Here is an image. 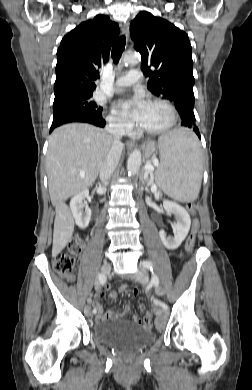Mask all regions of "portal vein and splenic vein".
I'll return each instance as SVG.
<instances>
[{
  "label": "portal vein and splenic vein",
  "mask_w": 252,
  "mask_h": 390,
  "mask_svg": "<svg viewBox=\"0 0 252 390\" xmlns=\"http://www.w3.org/2000/svg\"><path fill=\"white\" fill-rule=\"evenodd\" d=\"M159 161L157 158L152 159V163L145 165V172L150 173L154 170V166H158ZM153 192H156V186H153Z\"/></svg>",
  "instance_id": "1"
}]
</instances>
